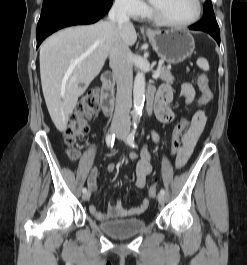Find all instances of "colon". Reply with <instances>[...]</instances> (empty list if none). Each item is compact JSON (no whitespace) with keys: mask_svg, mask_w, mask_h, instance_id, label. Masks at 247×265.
I'll use <instances>...</instances> for the list:
<instances>
[{"mask_svg":"<svg viewBox=\"0 0 247 265\" xmlns=\"http://www.w3.org/2000/svg\"><path fill=\"white\" fill-rule=\"evenodd\" d=\"M197 85L200 91V97L197 101L198 105L203 106L210 103L213 99V93L209 85L208 76L201 73L197 79ZM100 102V93L97 89L90 90L79 102L78 106L69 118L67 127L64 131L65 143L69 146L68 156L75 159L78 151L75 146L86 137L89 131V119L98 111ZM188 125L187 119L178 122L172 131L170 141V153L174 160H177L181 148L180 136ZM158 192L157 185L149 188L148 195L150 198L156 197Z\"/></svg>","mask_w":247,"mask_h":265,"instance_id":"5ec220e1","label":"colon"}]
</instances>
